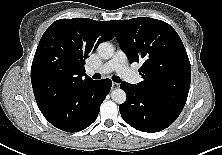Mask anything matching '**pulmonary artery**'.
I'll list each match as a JSON object with an SVG mask.
<instances>
[{
    "instance_id": "1",
    "label": "pulmonary artery",
    "mask_w": 222,
    "mask_h": 155,
    "mask_svg": "<svg viewBox=\"0 0 222 155\" xmlns=\"http://www.w3.org/2000/svg\"><path fill=\"white\" fill-rule=\"evenodd\" d=\"M113 71L117 72L119 76L130 83L137 84L140 81L139 75L127 65V57L122 50H117L113 57L98 70H88L89 73L99 72L102 74L111 73Z\"/></svg>"
}]
</instances>
